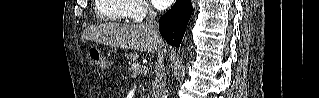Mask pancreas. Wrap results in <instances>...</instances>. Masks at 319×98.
I'll return each instance as SVG.
<instances>
[{"label":"pancreas","instance_id":"cf45deb5","mask_svg":"<svg viewBox=\"0 0 319 98\" xmlns=\"http://www.w3.org/2000/svg\"><path fill=\"white\" fill-rule=\"evenodd\" d=\"M125 56H126V59L129 60L130 62H135L138 58V55L132 52H130L129 54H126ZM140 71H141V74H145L147 72V69L139 65V72ZM131 72H133L134 74H137V73L140 74L138 71L134 72L133 70H131Z\"/></svg>","mask_w":319,"mask_h":98}]
</instances>
